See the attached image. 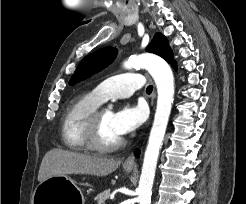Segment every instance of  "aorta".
Listing matches in <instances>:
<instances>
[{
    "label": "aorta",
    "instance_id": "aorta-1",
    "mask_svg": "<svg viewBox=\"0 0 246 204\" xmlns=\"http://www.w3.org/2000/svg\"><path fill=\"white\" fill-rule=\"evenodd\" d=\"M123 66L126 69L145 68L153 77L157 87L156 113L144 155L138 186L139 204H150L159 152L163 144L174 100V77L168 63L154 54L147 53L131 56L124 62ZM111 108L112 106L110 105L109 110ZM109 110L107 111L108 113L110 112Z\"/></svg>",
    "mask_w": 246,
    "mask_h": 204
}]
</instances>
